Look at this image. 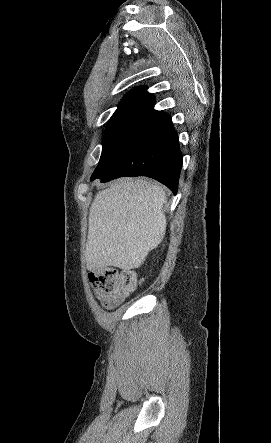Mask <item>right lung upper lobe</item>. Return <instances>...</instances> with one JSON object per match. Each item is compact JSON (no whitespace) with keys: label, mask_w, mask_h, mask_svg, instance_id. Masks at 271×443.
Wrapping results in <instances>:
<instances>
[{"label":"right lung upper lobe","mask_w":271,"mask_h":443,"mask_svg":"<svg viewBox=\"0 0 271 443\" xmlns=\"http://www.w3.org/2000/svg\"><path fill=\"white\" fill-rule=\"evenodd\" d=\"M121 103H154V97L147 92L146 87H139L129 92L121 101Z\"/></svg>","instance_id":"1"}]
</instances>
